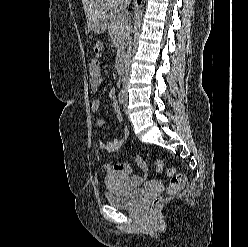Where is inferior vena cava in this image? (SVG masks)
<instances>
[{"label":"inferior vena cava","instance_id":"1","mask_svg":"<svg viewBox=\"0 0 248 247\" xmlns=\"http://www.w3.org/2000/svg\"><path fill=\"white\" fill-rule=\"evenodd\" d=\"M128 24H129V28H130V25H131V18L128 17ZM129 39V47H128V51H127V62L129 63L130 59H131V41H130V37H128Z\"/></svg>","mask_w":248,"mask_h":247}]
</instances>
